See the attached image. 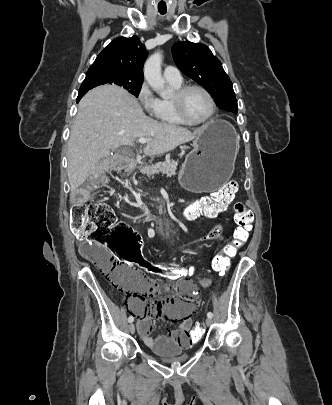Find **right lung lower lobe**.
I'll return each mask as SVG.
<instances>
[{"label":"right lung lower lobe","instance_id":"obj_1","mask_svg":"<svg viewBox=\"0 0 332 405\" xmlns=\"http://www.w3.org/2000/svg\"><path fill=\"white\" fill-rule=\"evenodd\" d=\"M84 94H85L84 92L78 94L77 102H79V100L83 97Z\"/></svg>","mask_w":332,"mask_h":405}]
</instances>
